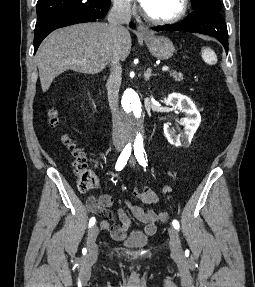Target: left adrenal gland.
<instances>
[{
	"label": "left adrenal gland",
	"mask_w": 255,
	"mask_h": 287,
	"mask_svg": "<svg viewBox=\"0 0 255 287\" xmlns=\"http://www.w3.org/2000/svg\"><path fill=\"white\" fill-rule=\"evenodd\" d=\"M145 76V80H150L151 76H152V72L149 68V70H146V74H144Z\"/></svg>",
	"instance_id": "obj_1"
}]
</instances>
